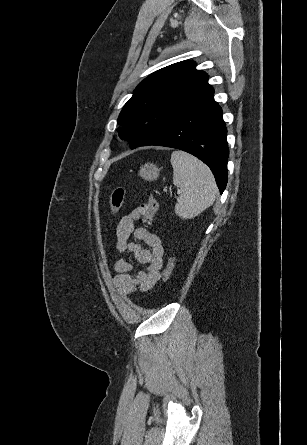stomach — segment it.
I'll use <instances>...</instances> for the list:
<instances>
[{"instance_id": "1", "label": "stomach", "mask_w": 307, "mask_h": 445, "mask_svg": "<svg viewBox=\"0 0 307 445\" xmlns=\"http://www.w3.org/2000/svg\"><path fill=\"white\" fill-rule=\"evenodd\" d=\"M139 174L145 180H156L159 176V168L153 162H146L140 166Z\"/></svg>"}]
</instances>
